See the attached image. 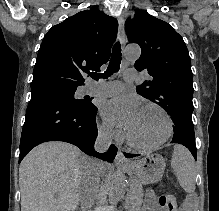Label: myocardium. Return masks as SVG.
Returning <instances> with one entry per match:
<instances>
[{
  "instance_id": "myocardium-1",
  "label": "myocardium",
  "mask_w": 219,
  "mask_h": 211,
  "mask_svg": "<svg viewBox=\"0 0 219 211\" xmlns=\"http://www.w3.org/2000/svg\"><path fill=\"white\" fill-rule=\"evenodd\" d=\"M147 107H153V108H156L158 109L165 117V120H166V131H165V134L164 136L154 142V143H150V144H144V143H139V142H136L131 136L130 134L128 133V131H126L125 133V137H126V140L127 142L133 146V147H136V148H140V149H155L159 146H161L162 144H164L166 141H168V139L171 137L172 135V132H173V122H172V119H171V116L170 114L168 113V111L161 105H159L158 103H155V102H146L144 103L140 109H144V108H147Z\"/></svg>"
}]
</instances>
